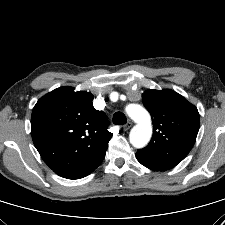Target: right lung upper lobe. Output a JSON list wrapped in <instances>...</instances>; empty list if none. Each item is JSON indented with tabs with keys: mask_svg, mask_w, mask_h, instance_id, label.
Here are the masks:
<instances>
[{
	"mask_svg": "<svg viewBox=\"0 0 225 225\" xmlns=\"http://www.w3.org/2000/svg\"><path fill=\"white\" fill-rule=\"evenodd\" d=\"M94 96L60 87L36 103L31 117L34 145L44 162L59 176L80 179L102 162L112 133Z\"/></svg>",
	"mask_w": 225,
	"mask_h": 225,
	"instance_id": "right-lung-upper-lobe-1",
	"label": "right lung upper lobe"
}]
</instances>
